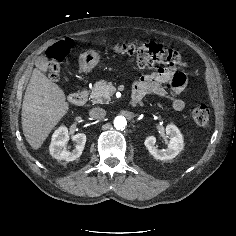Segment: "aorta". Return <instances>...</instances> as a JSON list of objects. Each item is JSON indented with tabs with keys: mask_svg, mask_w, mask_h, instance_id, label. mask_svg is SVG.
Returning <instances> with one entry per match:
<instances>
[{
	"mask_svg": "<svg viewBox=\"0 0 236 236\" xmlns=\"http://www.w3.org/2000/svg\"><path fill=\"white\" fill-rule=\"evenodd\" d=\"M126 125H127V121H126V118L124 116H117L114 119V127L117 130H123Z\"/></svg>",
	"mask_w": 236,
	"mask_h": 236,
	"instance_id": "1",
	"label": "aorta"
}]
</instances>
